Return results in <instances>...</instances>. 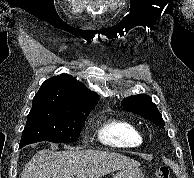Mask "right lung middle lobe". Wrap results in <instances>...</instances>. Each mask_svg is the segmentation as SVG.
<instances>
[{
  "label": "right lung middle lobe",
  "mask_w": 194,
  "mask_h": 178,
  "mask_svg": "<svg viewBox=\"0 0 194 178\" xmlns=\"http://www.w3.org/2000/svg\"><path fill=\"white\" fill-rule=\"evenodd\" d=\"M89 113L90 111H70L47 102H33L20 146L40 141L74 142L78 139Z\"/></svg>",
  "instance_id": "dd1d6c3e"
}]
</instances>
